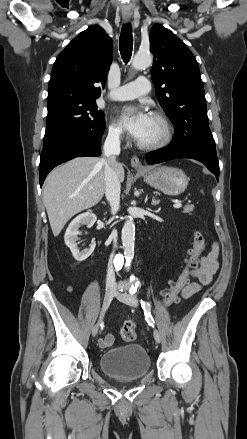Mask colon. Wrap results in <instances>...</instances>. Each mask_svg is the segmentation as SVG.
<instances>
[{
    "label": "colon",
    "instance_id": "obj_1",
    "mask_svg": "<svg viewBox=\"0 0 247 439\" xmlns=\"http://www.w3.org/2000/svg\"><path fill=\"white\" fill-rule=\"evenodd\" d=\"M205 247V239L200 231L193 234V247L189 250V259L186 268L180 276L168 284L162 294V305L171 306L178 300L179 293L189 281L190 276L199 263L200 255ZM121 338L126 342L134 341L137 337L136 326L133 322H126L121 329Z\"/></svg>",
    "mask_w": 247,
    "mask_h": 439
}]
</instances>
